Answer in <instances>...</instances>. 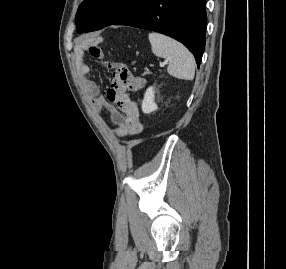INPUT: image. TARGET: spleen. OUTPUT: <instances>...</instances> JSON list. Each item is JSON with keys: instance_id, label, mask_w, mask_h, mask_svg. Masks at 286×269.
<instances>
[{"instance_id": "1", "label": "spleen", "mask_w": 286, "mask_h": 269, "mask_svg": "<svg viewBox=\"0 0 286 269\" xmlns=\"http://www.w3.org/2000/svg\"><path fill=\"white\" fill-rule=\"evenodd\" d=\"M149 40L153 53L169 61L168 73L182 80H193L195 59L190 51L178 41L160 33H150Z\"/></svg>"}]
</instances>
